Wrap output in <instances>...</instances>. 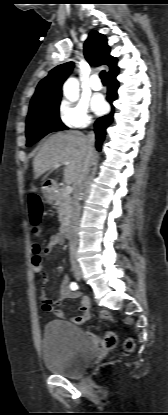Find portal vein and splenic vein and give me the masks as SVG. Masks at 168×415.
<instances>
[{"label": "portal vein and splenic vein", "mask_w": 168, "mask_h": 415, "mask_svg": "<svg viewBox=\"0 0 168 415\" xmlns=\"http://www.w3.org/2000/svg\"><path fill=\"white\" fill-rule=\"evenodd\" d=\"M62 164L69 165V163H68V162H63ZM60 165H61V163H55V164H54V167H55V168H57V167H59ZM72 191H73L72 186L67 185V186L65 187V192H66L67 194L72 193Z\"/></svg>", "instance_id": "1"}]
</instances>
